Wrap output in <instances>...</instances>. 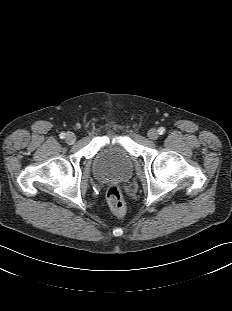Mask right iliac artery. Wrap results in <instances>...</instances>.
I'll return each instance as SVG.
<instances>
[{
    "instance_id": "1",
    "label": "right iliac artery",
    "mask_w": 232,
    "mask_h": 311,
    "mask_svg": "<svg viewBox=\"0 0 232 311\" xmlns=\"http://www.w3.org/2000/svg\"><path fill=\"white\" fill-rule=\"evenodd\" d=\"M59 136H60L61 139H64L66 134L64 132H62V133L59 134Z\"/></svg>"
}]
</instances>
